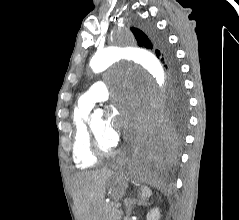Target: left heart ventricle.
<instances>
[{
    "mask_svg": "<svg viewBox=\"0 0 239 220\" xmlns=\"http://www.w3.org/2000/svg\"><path fill=\"white\" fill-rule=\"evenodd\" d=\"M91 125L102 147L109 149L115 145L114 143L109 141L104 135L105 125H106L105 120L95 119L91 122Z\"/></svg>",
    "mask_w": 239,
    "mask_h": 220,
    "instance_id": "b2bd125f",
    "label": "left heart ventricle"
}]
</instances>
